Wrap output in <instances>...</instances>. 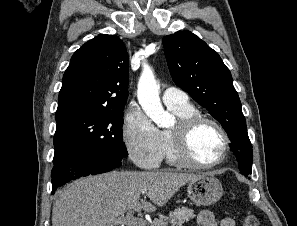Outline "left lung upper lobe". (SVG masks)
I'll return each mask as SVG.
<instances>
[{"label":"left lung upper lobe","mask_w":297,"mask_h":226,"mask_svg":"<svg viewBox=\"0 0 297 226\" xmlns=\"http://www.w3.org/2000/svg\"><path fill=\"white\" fill-rule=\"evenodd\" d=\"M162 42L173 81L221 123L239 170L248 176L252 172V145L229 69L216 51L189 31L165 36Z\"/></svg>","instance_id":"1"}]
</instances>
